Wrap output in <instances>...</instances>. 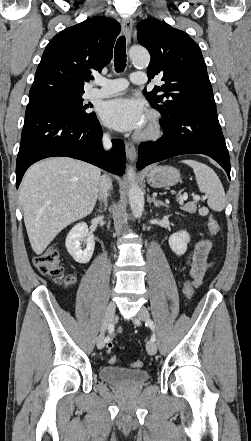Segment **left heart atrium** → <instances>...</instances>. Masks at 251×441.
Returning a JSON list of instances; mask_svg holds the SVG:
<instances>
[{"mask_svg":"<svg viewBox=\"0 0 251 441\" xmlns=\"http://www.w3.org/2000/svg\"><path fill=\"white\" fill-rule=\"evenodd\" d=\"M102 121L118 131H138L146 123V106L134 97L121 96L102 103Z\"/></svg>","mask_w":251,"mask_h":441,"instance_id":"obj_1","label":"left heart atrium"}]
</instances>
